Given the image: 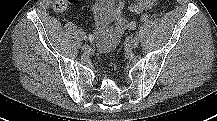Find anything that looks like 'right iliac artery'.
I'll use <instances>...</instances> for the list:
<instances>
[{
  "label": "right iliac artery",
  "mask_w": 217,
  "mask_h": 121,
  "mask_svg": "<svg viewBox=\"0 0 217 121\" xmlns=\"http://www.w3.org/2000/svg\"><path fill=\"white\" fill-rule=\"evenodd\" d=\"M78 34H79V37H80L81 40L87 41V36L85 35L84 32L79 31Z\"/></svg>",
  "instance_id": "1"
}]
</instances>
